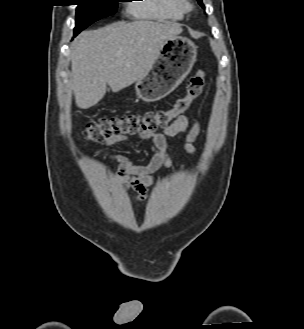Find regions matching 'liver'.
Returning <instances> with one entry per match:
<instances>
[{"label":"liver","mask_w":304,"mask_h":329,"mask_svg":"<svg viewBox=\"0 0 304 329\" xmlns=\"http://www.w3.org/2000/svg\"><path fill=\"white\" fill-rule=\"evenodd\" d=\"M182 31L177 23L141 20L82 32L71 54L76 105L88 109L104 97L106 85L118 92L140 80L165 41Z\"/></svg>","instance_id":"liver-1"}]
</instances>
